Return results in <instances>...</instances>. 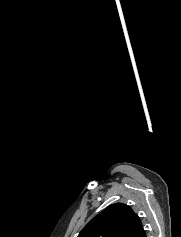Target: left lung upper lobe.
Segmentation results:
<instances>
[{
    "label": "left lung upper lobe",
    "mask_w": 181,
    "mask_h": 237,
    "mask_svg": "<svg viewBox=\"0 0 181 237\" xmlns=\"http://www.w3.org/2000/svg\"><path fill=\"white\" fill-rule=\"evenodd\" d=\"M144 233L139 216L130 206L114 203L90 220L78 237H142Z\"/></svg>",
    "instance_id": "left-lung-upper-lobe-1"
}]
</instances>
